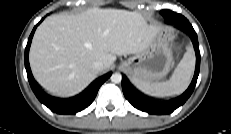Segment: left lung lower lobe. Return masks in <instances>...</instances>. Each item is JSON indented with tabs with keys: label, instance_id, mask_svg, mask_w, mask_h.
I'll return each instance as SVG.
<instances>
[{
	"label": "left lung lower lobe",
	"instance_id": "left-lung-lower-lobe-1",
	"mask_svg": "<svg viewBox=\"0 0 231 134\" xmlns=\"http://www.w3.org/2000/svg\"><path fill=\"white\" fill-rule=\"evenodd\" d=\"M167 23L176 24V26L182 28L184 31H186L190 35L193 41L194 47H195V51H196V57H197L196 68H195L193 80L190 86L188 87V89L181 96L175 99L169 100V101H165V102H156V101H152V100H149V99H146L140 96L139 94H137L130 88L126 79L122 77V89H123L125 98L135 108L142 110L144 112L150 113V114H158V115L169 114L173 112L179 106L183 105L186 102V100L190 97V95L192 94L195 88L196 82H197L198 75H199L200 52H199L197 34L195 30L193 29L192 25L189 23V21L185 17L175 12H172V15L169 16V20Z\"/></svg>",
	"mask_w": 231,
	"mask_h": 134
}]
</instances>
